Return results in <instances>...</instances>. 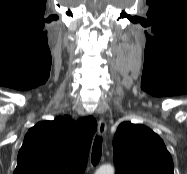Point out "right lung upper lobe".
I'll list each match as a JSON object with an SVG mask.
<instances>
[{
  "label": "right lung upper lobe",
  "mask_w": 187,
  "mask_h": 174,
  "mask_svg": "<svg viewBox=\"0 0 187 174\" xmlns=\"http://www.w3.org/2000/svg\"><path fill=\"white\" fill-rule=\"evenodd\" d=\"M97 122L57 117L29 129L13 174H84Z\"/></svg>",
  "instance_id": "obj_1"
}]
</instances>
